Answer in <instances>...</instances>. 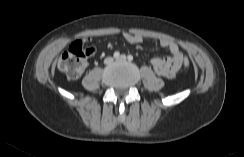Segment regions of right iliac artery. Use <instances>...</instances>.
<instances>
[{"mask_svg":"<svg viewBox=\"0 0 244 157\" xmlns=\"http://www.w3.org/2000/svg\"><path fill=\"white\" fill-rule=\"evenodd\" d=\"M114 58H118L120 56V53L118 51L114 52L113 54Z\"/></svg>","mask_w":244,"mask_h":157,"instance_id":"obj_1","label":"right iliac artery"}]
</instances>
